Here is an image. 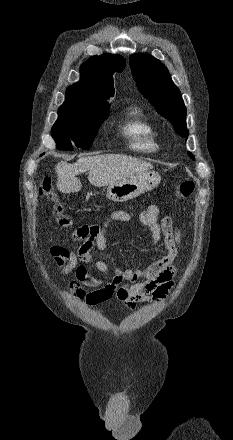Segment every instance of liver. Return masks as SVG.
<instances>
[{"label": "liver", "mask_w": 233, "mask_h": 440, "mask_svg": "<svg viewBox=\"0 0 233 440\" xmlns=\"http://www.w3.org/2000/svg\"><path fill=\"white\" fill-rule=\"evenodd\" d=\"M153 169L149 162L117 154L79 158L74 164L59 162L56 165L57 188L62 193L78 192L82 188L76 176L89 171L88 180L96 187L114 184L125 177Z\"/></svg>", "instance_id": "obj_1"}]
</instances>
